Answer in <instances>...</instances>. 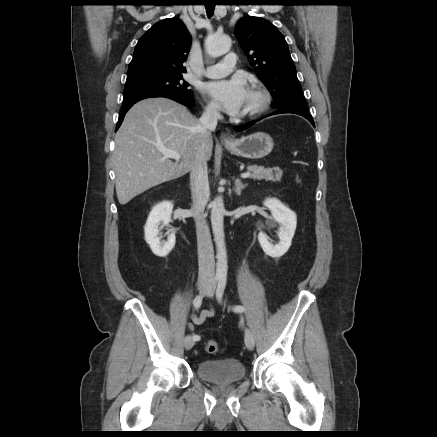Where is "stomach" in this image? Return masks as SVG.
Here are the masks:
<instances>
[{
  "label": "stomach",
  "mask_w": 437,
  "mask_h": 437,
  "mask_svg": "<svg viewBox=\"0 0 437 437\" xmlns=\"http://www.w3.org/2000/svg\"><path fill=\"white\" fill-rule=\"evenodd\" d=\"M273 146L272 137L264 132H256L225 143V148L229 152L248 159H261L267 156Z\"/></svg>",
  "instance_id": "1"
}]
</instances>
